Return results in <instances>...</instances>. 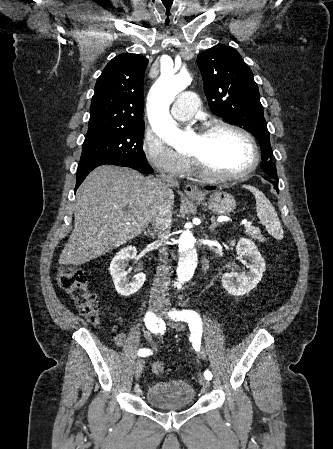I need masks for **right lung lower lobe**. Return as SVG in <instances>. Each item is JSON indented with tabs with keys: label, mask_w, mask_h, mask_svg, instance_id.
<instances>
[{
	"label": "right lung lower lobe",
	"mask_w": 333,
	"mask_h": 449,
	"mask_svg": "<svg viewBox=\"0 0 333 449\" xmlns=\"http://www.w3.org/2000/svg\"><path fill=\"white\" fill-rule=\"evenodd\" d=\"M105 164L130 167L141 173L148 174L153 172V169L149 164H133L119 160H98V161L80 162L77 169V179H76L77 181L75 191L77 190L79 185L83 182L85 177L89 174V172H91L94 168Z\"/></svg>",
	"instance_id": "right-lung-lower-lobe-1"
}]
</instances>
